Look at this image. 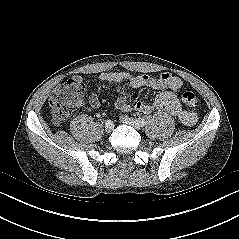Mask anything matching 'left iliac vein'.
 Wrapping results in <instances>:
<instances>
[{
  "label": "left iliac vein",
  "mask_w": 239,
  "mask_h": 239,
  "mask_svg": "<svg viewBox=\"0 0 239 239\" xmlns=\"http://www.w3.org/2000/svg\"><path fill=\"white\" fill-rule=\"evenodd\" d=\"M120 120L124 124L131 125L136 129H140V125L136 122V120H134V119H132V118L126 116V115H122L120 117Z\"/></svg>",
  "instance_id": "left-iliac-vein-1"
}]
</instances>
